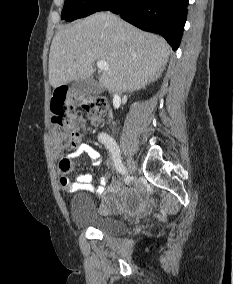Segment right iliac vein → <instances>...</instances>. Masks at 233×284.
I'll return each mask as SVG.
<instances>
[{"label": "right iliac vein", "instance_id": "63e3f726", "mask_svg": "<svg viewBox=\"0 0 233 284\" xmlns=\"http://www.w3.org/2000/svg\"><path fill=\"white\" fill-rule=\"evenodd\" d=\"M127 168H128V177H135V168H136V165H135V162L133 161V159L131 158H128L127 159Z\"/></svg>", "mask_w": 233, "mask_h": 284}]
</instances>
